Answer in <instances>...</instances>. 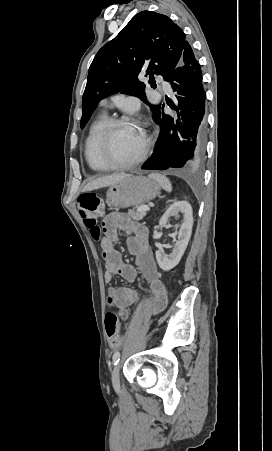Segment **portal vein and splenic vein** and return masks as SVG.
I'll return each instance as SVG.
<instances>
[{
  "instance_id": "portal-vein-and-splenic-vein-1",
  "label": "portal vein and splenic vein",
  "mask_w": 272,
  "mask_h": 451,
  "mask_svg": "<svg viewBox=\"0 0 272 451\" xmlns=\"http://www.w3.org/2000/svg\"><path fill=\"white\" fill-rule=\"evenodd\" d=\"M150 210L149 206H139L137 212H148Z\"/></svg>"
}]
</instances>
